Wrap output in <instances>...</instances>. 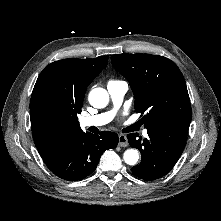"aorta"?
Wrapping results in <instances>:
<instances>
[{
  "mask_svg": "<svg viewBox=\"0 0 221 221\" xmlns=\"http://www.w3.org/2000/svg\"><path fill=\"white\" fill-rule=\"evenodd\" d=\"M89 103L95 108H104L109 103V94L103 88H95L90 91ZM125 163L128 165H135L138 162L139 154L136 149H128L123 155Z\"/></svg>",
  "mask_w": 221,
  "mask_h": 221,
  "instance_id": "762f6f07",
  "label": "aorta"
}]
</instances>
